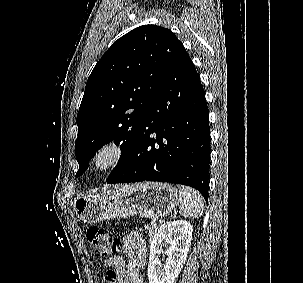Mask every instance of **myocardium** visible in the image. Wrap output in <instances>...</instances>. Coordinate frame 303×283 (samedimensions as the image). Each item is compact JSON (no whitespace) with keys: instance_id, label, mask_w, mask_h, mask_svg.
<instances>
[{"instance_id":"obj_1","label":"myocardium","mask_w":303,"mask_h":283,"mask_svg":"<svg viewBox=\"0 0 303 283\" xmlns=\"http://www.w3.org/2000/svg\"><path fill=\"white\" fill-rule=\"evenodd\" d=\"M124 154L122 142L116 139L106 140L95 150L91 158V168L99 174L108 173L121 163Z\"/></svg>"}]
</instances>
